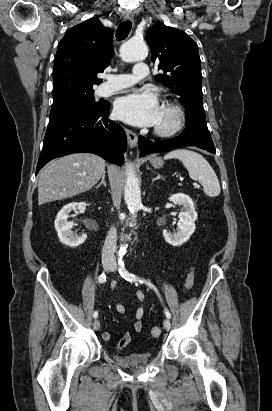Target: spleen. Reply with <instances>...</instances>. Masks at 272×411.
Masks as SVG:
<instances>
[{
    "label": "spleen",
    "instance_id": "spleen-1",
    "mask_svg": "<svg viewBox=\"0 0 272 411\" xmlns=\"http://www.w3.org/2000/svg\"><path fill=\"white\" fill-rule=\"evenodd\" d=\"M164 159H179L188 170L190 178L203 185L204 193L209 197L220 194L221 188L208 161L199 153L187 149L172 150L164 156Z\"/></svg>",
    "mask_w": 272,
    "mask_h": 411
}]
</instances>
